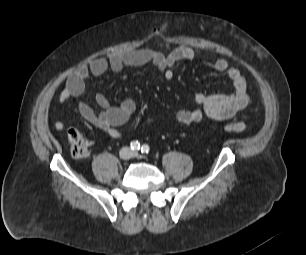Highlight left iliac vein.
<instances>
[{"instance_id": "1", "label": "left iliac vein", "mask_w": 306, "mask_h": 255, "mask_svg": "<svg viewBox=\"0 0 306 255\" xmlns=\"http://www.w3.org/2000/svg\"><path fill=\"white\" fill-rule=\"evenodd\" d=\"M133 156H134V157L138 156V153L134 152V153H133Z\"/></svg>"}]
</instances>
